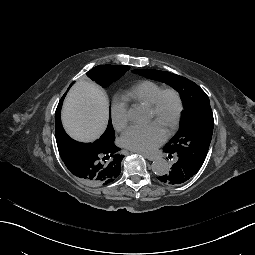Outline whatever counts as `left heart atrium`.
<instances>
[{
    "instance_id": "39dd6f15",
    "label": "left heart atrium",
    "mask_w": 255,
    "mask_h": 255,
    "mask_svg": "<svg viewBox=\"0 0 255 255\" xmlns=\"http://www.w3.org/2000/svg\"><path fill=\"white\" fill-rule=\"evenodd\" d=\"M166 140V135L154 124H137L121 136L124 147L140 153H152Z\"/></svg>"
}]
</instances>
